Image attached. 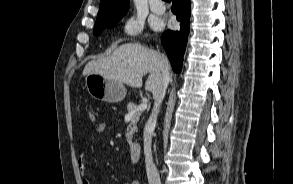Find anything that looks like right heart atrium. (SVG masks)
Returning a JSON list of instances; mask_svg holds the SVG:
<instances>
[{
    "label": "right heart atrium",
    "mask_w": 293,
    "mask_h": 184,
    "mask_svg": "<svg viewBox=\"0 0 293 184\" xmlns=\"http://www.w3.org/2000/svg\"><path fill=\"white\" fill-rule=\"evenodd\" d=\"M120 31L128 39L140 37L143 33V22L133 16L127 17L122 22Z\"/></svg>",
    "instance_id": "d8ad5b80"
}]
</instances>
